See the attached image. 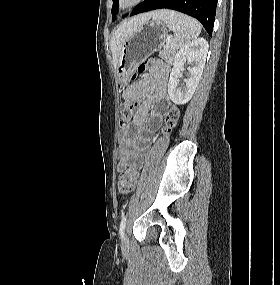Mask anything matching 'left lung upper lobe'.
<instances>
[{
  "mask_svg": "<svg viewBox=\"0 0 280 285\" xmlns=\"http://www.w3.org/2000/svg\"><path fill=\"white\" fill-rule=\"evenodd\" d=\"M118 13V0H113L112 15L115 16Z\"/></svg>",
  "mask_w": 280,
  "mask_h": 285,
  "instance_id": "1",
  "label": "left lung upper lobe"
}]
</instances>
